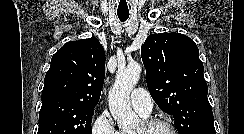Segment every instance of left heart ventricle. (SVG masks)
Wrapping results in <instances>:
<instances>
[{
  "mask_svg": "<svg viewBox=\"0 0 244 134\" xmlns=\"http://www.w3.org/2000/svg\"><path fill=\"white\" fill-rule=\"evenodd\" d=\"M142 130V126L140 125L136 132H139ZM147 134H171L168 128L164 126H157L154 127L151 131H149Z\"/></svg>",
  "mask_w": 244,
  "mask_h": 134,
  "instance_id": "1",
  "label": "left heart ventricle"
}]
</instances>
